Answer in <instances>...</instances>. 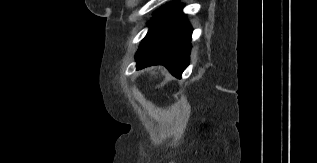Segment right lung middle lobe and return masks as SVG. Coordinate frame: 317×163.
Listing matches in <instances>:
<instances>
[{"label": "right lung middle lobe", "instance_id": "right-lung-middle-lobe-1", "mask_svg": "<svg viewBox=\"0 0 317 163\" xmlns=\"http://www.w3.org/2000/svg\"><path fill=\"white\" fill-rule=\"evenodd\" d=\"M168 7L165 8V9H162L160 11H157L155 14H154V18L149 22L148 26H152L154 23H156L160 18H162L167 12L170 11L171 8H169V6H174V4H170V5H167Z\"/></svg>", "mask_w": 317, "mask_h": 163}]
</instances>
